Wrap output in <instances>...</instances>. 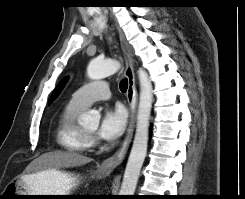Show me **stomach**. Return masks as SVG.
I'll return each instance as SVG.
<instances>
[{
    "instance_id": "0dacf381",
    "label": "stomach",
    "mask_w": 245,
    "mask_h": 199,
    "mask_svg": "<svg viewBox=\"0 0 245 199\" xmlns=\"http://www.w3.org/2000/svg\"><path fill=\"white\" fill-rule=\"evenodd\" d=\"M106 176L107 173H102ZM82 177L73 172L47 169L32 176H23L8 184L9 195L15 199H31L15 195H71L70 192L81 182ZM52 198H65L56 196Z\"/></svg>"
}]
</instances>
